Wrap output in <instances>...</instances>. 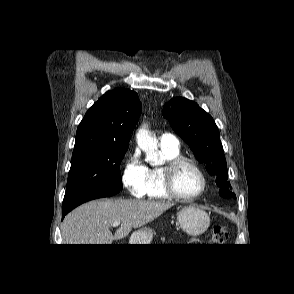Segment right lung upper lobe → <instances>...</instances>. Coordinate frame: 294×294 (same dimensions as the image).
<instances>
[{
    "mask_svg": "<svg viewBox=\"0 0 294 294\" xmlns=\"http://www.w3.org/2000/svg\"><path fill=\"white\" fill-rule=\"evenodd\" d=\"M141 103L134 91L117 88L106 92L87 111L78 126L74 147H129L139 119Z\"/></svg>",
    "mask_w": 294,
    "mask_h": 294,
    "instance_id": "right-lung-upper-lobe-1",
    "label": "right lung upper lobe"
}]
</instances>
